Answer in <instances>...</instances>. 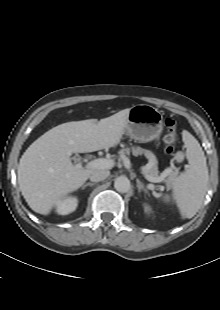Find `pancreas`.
<instances>
[{"label": "pancreas", "mask_w": 220, "mask_h": 310, "mask_svg": "<svg viewBox=\"0 0 220 310\" xmlns=\"http://www.w3.org/2000/svg\"><path fill=\"white\" fill-rule=\"evenodd\" d=\"M125 152L129 153V149H126ZM132 152L134 155L145 154L149 159V163L144 167V172L152 177H159L156 157L150 151L138 147L133 149ZM167 170L168 172H166ZM164 174L168 176L166 180L167 185H172L177 172L173 171L172 169H166Z\"/></svg>", "instance_id": "cf45deb5"}]
</instances>
